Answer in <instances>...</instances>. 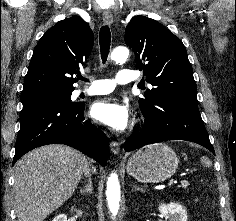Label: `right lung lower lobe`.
Segmentation results:
<instances>
[{"instance_id": "98d812e1", "label": "right lung lower lobe", "mask_w": 236, "mask_h": 221, "mask_svg": "<svg viewBox=\"0 0 236 221\" xmlns=\"http://www.w3.org/2000/svg\"><path fill=\"white\" fill-rule=\"evenodd\" d=\"M84 109V103L38 101L24 104L13 164L36 147L58 143L74 147L105 166L108 139L85 120Z\"/></svg>"}]
</instances>
